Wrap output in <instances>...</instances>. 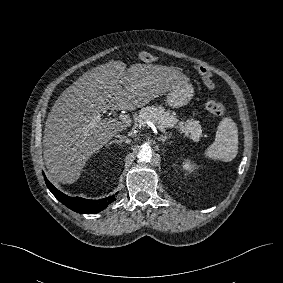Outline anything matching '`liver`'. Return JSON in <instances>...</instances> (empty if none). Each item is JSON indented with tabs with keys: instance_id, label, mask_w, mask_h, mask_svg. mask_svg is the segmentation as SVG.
Wrapping results in <instances>:
<instances>
[{
	"instance_id": "liver-1",
	"label": "liver",
	"mask_w": 283,
	"mask_h": 283,
	"mask_svg": "<svg viewBox=\"0 0 283 283\" xmlns=\"http://www.w3.org/2000/svg\"><path fill=\"white\" fill-rule=\"evenodd\" d=\"M185 79L172 67L111 61L85 72L56 100L44 129L43 156L57 182L74 183L92 154L127 129L102 118L110 110H135ZM92 124V125H90Z\"/></svg>"
}]
</instances>
